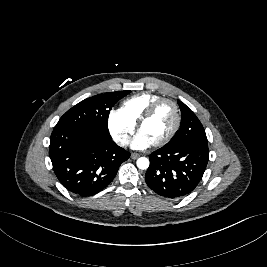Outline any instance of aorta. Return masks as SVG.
<instances>
[{
	"label": "aorta",
	"instance_id": "aorta-1",
	"mask_svg": "<svg viewBox=\"0 0 267 267\" xmlns=\"http://www.w3.org/2000/svg\"><path fill=\"white\" fill-rule=\"evenodd\" d=\"M137 167L142 170L147 169L149 167V160L146 157H140L137 160Z\"/></svg>",
	"mask_w": 267,
	"mask_h": 267
}]
</instances>
